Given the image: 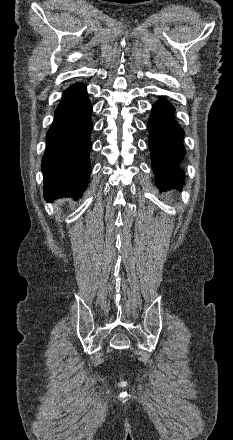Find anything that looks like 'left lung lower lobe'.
Segmentation results:
<instances>
[{
	"instance_id": "obj_1",
	"label": "left lung lower lobe",
	"mask_w": 233,
	"mask_h": 440,
	"mask_svg": "<svg viewBox=\"0 0 233 440\" xmlns=\"http://www.w3.org/2000/svg\"><path fill=\"white\" fill-rule=\"evenodd\" d=\"M174 111L172 104L160 98L148 122L152 167L160 189L179 188L184 180V172L179 167L185 155L184 131L174 120Z\"/></svg>"
}]
</instances>
